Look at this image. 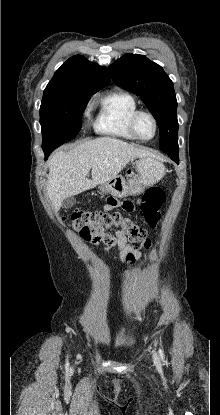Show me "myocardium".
Masks as SVG:
<instances>
[{
    "mask_svg": "<svg viewBox=\"0 0 220 415\" xmlns=\"http://www.w3.org/2000/svg\"><path fill=\"white\" fill-rule=\"evenodd\" d=\"M141 115H147V116H149L152 119L153 123H154V128H155L154 135L151 138H149V139H144V138L140 137L139 134H138V132H137L136 123H137L138 118ZM129 128H130L133 136L137 140L142 141V142H148L150 140H153L157 136L158 129H159V125H158L157 118L155 117V115L153 113H151L150 111H147V110H137V111H135L132 114V116L130 118Z\"/></svg>",
    "mask_w": 220,
    "mask_h": 415,
    "instance_id": "f54148a6",
    "label": "myocardium"
}]
</instances>
